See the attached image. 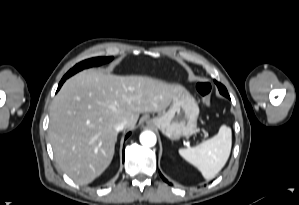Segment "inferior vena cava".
Here are the masks:
<instances>
[{
  "label": "inferior vena cava",
  "instance_id": "602c4592",
  "mask_svg": "<svg viewBox=\"0 0 299 205\" xmlns=\"http://www.w3.org/2000/svg\"><path fill=\"white\" fill-rule=\"evenodd\" d=\"M127 125L126 121H122L115 126L117 132L122 131Z\"/></svg>",
  "mask_w": 299,
  "mask_h": 205
}]
</instances>
